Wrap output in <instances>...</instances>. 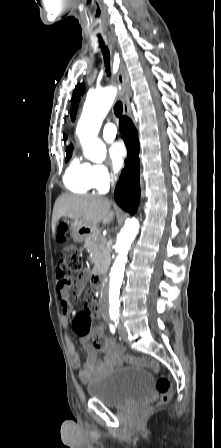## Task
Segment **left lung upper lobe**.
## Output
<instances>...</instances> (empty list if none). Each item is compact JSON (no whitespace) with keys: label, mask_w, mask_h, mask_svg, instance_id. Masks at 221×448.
I'll use <instances>...</instances> for the list:
<instances>
[{"label":"left lung upper lobe","mask_w":221,"mask_h":448,"mask_svg":"<svg viewBox=\"0 0 221 448\" xmlns=\"http://www.w3.org/2000/svg\"><path fill=\"white\" fill-rule=\"evenodd\" d=\"M84 92V85H77L73 92L72 104H71V117L74 120L77 112L78 102L80 100V95Z\"/></svg>","instance_id":"obj_1"}]
</instances>
